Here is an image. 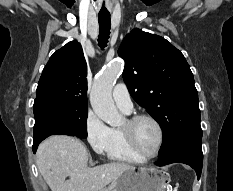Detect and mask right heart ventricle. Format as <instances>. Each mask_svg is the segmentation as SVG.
<instances>
[{"instance_id":"e07e8e85","label":"right heart ventricle","mask_w":233,"mask_h":191,"mask_svg":"<svg viewBox=\"0 0 233 191\" xmlns=\"http://www.w3.org/2000/svg\"><path fill=\"white\" fill-rule=\"evenodd\" d=\"M106 155L109 160L117 162L143 163L145 161L131 150L120 128H111V144Z\"/></svg>"}]
</instances>
